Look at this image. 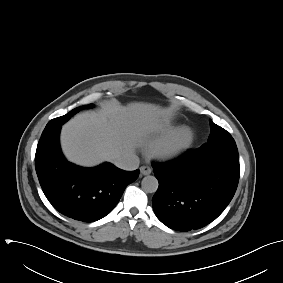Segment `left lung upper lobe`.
Instances as JSON below:
<instances>
[{"instance_id": "5c2ea615", "label": "left lung upper lobe", "mask_w": 283, "mask_h": 283, "mask_svg": "<svg viewBox=\"0 0 283 283\" xmlns=\"http://www.w3.org/2000/svg\"><path fill=\"white\" fill-rule=\"evenodd\" d=\"M210 122L211 133L207 143H204L197 152L203 154H214L239 160L236 143L231 135L222 127Z\"/></svg>"}]
</instances>
